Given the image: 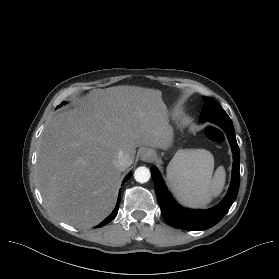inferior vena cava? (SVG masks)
<instances>
[{
  "mask_svg": "<svg viewBox=\"0 0 279 279\" xmlns=\"http://www.w3.org/2000/svg\"><path fill=\"white\" fill-rule=\"evenodd\" d=\"M132 164V159L128 154L120 152L116 159L114 160V165L120 171L125 170Z\"/></svg>",
  "mask_w": 279,
  "mask_h": 279,
  "instance_id": "inferior-vena-cava-1",
  "label": "inferior vena cava"
}]
</instances>
